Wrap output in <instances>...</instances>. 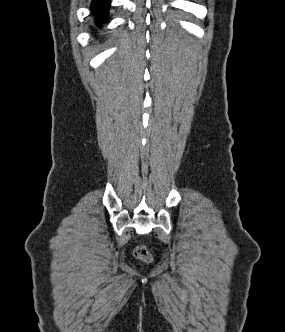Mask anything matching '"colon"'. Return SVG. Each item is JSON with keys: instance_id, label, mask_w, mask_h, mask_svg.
Segmentation results:
<instances>
[{"instance_id": "5ec220e1", "label": "colon", "mask_w": 285, "mask_h": 332, "mask_svg": "<svg viewBox=\"0 0 285 332\" xmlns=\"http://www.w3.org/2000/svg\"><path fill=\"white\" fill-rule=\"evenodd\" d=\"M135 256L143 261L150 260V254L148 253L147 249L144 246H138L135 250Z\"/></svg>"}]
</instances>
